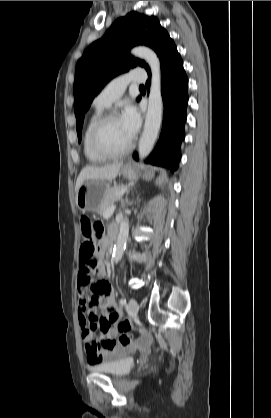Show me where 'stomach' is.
Returning <instances> with one entry per match:
<instances>
[{
  "mask_svg": "<svg viewBox=\"0 0 271 418\" xmlns=\"http://www.w3.org/2000/svg\"><path fill=\"white\" fill-rule=\"evenodd\" d=\"M122 175L129 179L135 180L137 174L131 165H124L121 169ZM152 175L151 171H147L146 177ZM110 189V184L105 180L90 179L86 180L76 193V205L82 212H96L100 208L105 193Z\"/></svg>",
  "mask_w": 271,
  "mask_h": 418,
  "instance_id": "stomach-1",
  "label": "stomach"
}]
</instances>
